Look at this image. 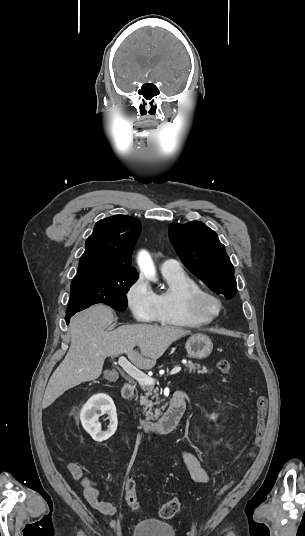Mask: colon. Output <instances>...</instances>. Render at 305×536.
I'll use <instances>...</instances> for the list:
<instances>
[{
	"instance_id": "1",
	"label": "colon",
	"mask_w": 305,
	"mask_h": 536,
	"mask_svg": "<svg viewBox=\"0 0 305 536\" xmlns=\"http://www.w3.org/2000/svg\"><path fill=\"white\" fill-rule=\"evenodd\" d=\"M219 371L223 374H229L231 371V363L228 359H220L217 363ZM268 400L266 396L260 395L256 399V426H255V435H254V445H259L262 441L264 430H265V421L267 414ZM232 481L227 483L223 489L220 491L219 496H221L230 486ZM124 499L126 504L134 511H139L141 509L135 481L132 477H129V480L124 484ZM179 509V502L176 498H173L166 503H164L158 510L160 518L168 520L172 518Z\"/></svg>"
}]
</instances>
